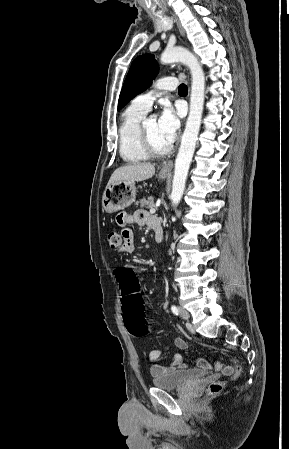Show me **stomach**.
I'll return each instance as SVG.
<instances>
[{"label":"stomach","instance_id":"obj_1","mask_svg":"<svg viewBox=\"0 0 289 449\" xmlns=\"http://www.w3.org/2000/svg\"><path fill=\"white\" fill-rule=\"evenodd\" d=\"M168 174L160 173L165 179ZM136 186L133 181H119L106 187L102 197V207L108 213L117 212L129 207L136 198Z\"/></svg>","mask_w":289,"mask_h":449}]
</instances>
